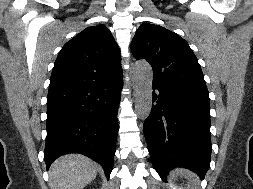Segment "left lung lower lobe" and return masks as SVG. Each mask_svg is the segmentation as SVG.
<instances>
[{
    "instance_id": "1",
    "label": "left lung lower lobe",
    "mask_w": 253,
    "mask_h": 189,
    "mask_svg": "<svg viewBox=\"0 0 253 189\" xmlns=\"http://www.w3.org/2000/svg\"><path fill=\"white\" fill-rule=\"evenodd\" d=\"M153 103L144 134L155 170L162 179L174 167L204 178L210 167L209 101L153 84Z\"/></svg>"
}]
</instances>
